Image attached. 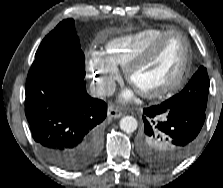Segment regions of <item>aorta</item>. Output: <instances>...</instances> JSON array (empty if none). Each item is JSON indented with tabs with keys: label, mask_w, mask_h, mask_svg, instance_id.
Wrapping results in <instances>:
<instances>
[{
	"label": "aorta",
	"mask_w": 223,
	"mask_h": 188,
	"mask_svg": "<svg viewBox=\"0 0 223 188\" xmlns=\"http://www.w3.org/2000/svg\"><path fill=\"white\" fill-rule=\"evenodd\" d=\"M138 127V122L133 116H124L120 120V128L126 133L134 132Z\"/></svg>",
	"instance_id": "obj_1"
}]
</instances>
